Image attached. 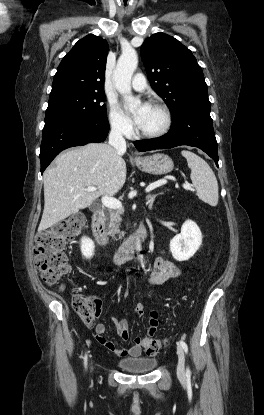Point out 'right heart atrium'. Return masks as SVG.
I'll return each mask as SVG.
<instances>
[{
  "mask_svg": "<svg viewBox=\"0 0 264 415\" xmlns=\"http://www.w3.org/2000/svg\"><path fill=\"white\" fill-rule=\"evenodd\" d=\"M109 122L116 133L123 136L133 134V125L129 117L121 110L115 100L109 101Z\"/></svg>",
  "mask_w": 264,
  "mask_h": 415,
  "instance_id": "1",
  "label": "right heart atrium"
}]
</instances>
